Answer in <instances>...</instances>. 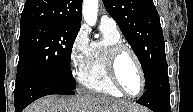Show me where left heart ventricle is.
I'll use <instances>...</instances> for the list:
<instances>
[{
	"label": "left heart ventricle",
	"instance_id": "obj_1",
	"mask_svg": "<svg viewBox=\"0 0 193 112\" xmlns=\"http://www.w3.org/2000/svg\"><path fill=\"white\" fill-rule=\"evenodd\" d=\"M117 72L124 88L130 94H137L141 88V79L137 65L129 53L120 56L117 63Z\"/></svg>",
	"mask_w": 193,
	"mask_h": 112
}]
</instances>
